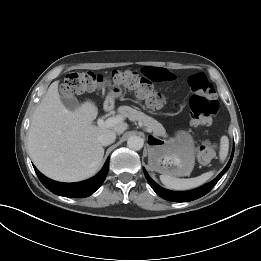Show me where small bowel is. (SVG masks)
Instances as JSON below:
<instances>
[{
	"label": "small bowel",
	"mask_w": 261,
	"mask_h": 261,
	"mask_svg": "<svg viewBox=\"0 0 261 261\" xmlns=\"http://www.w3.org/2000/svg\"><path fill=\"white\" fill-rule=\"evenodd\" d=\"M142 72L147 78L157 82H167L175 79V74L166 68L147 67Z\"/></svg>",
	"instance_id": "obj_1"
}]
</instances>
